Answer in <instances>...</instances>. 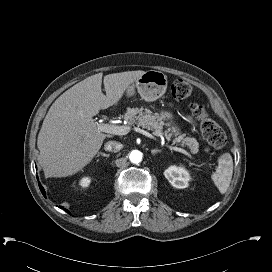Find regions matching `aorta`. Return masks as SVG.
<instances>
[{"label": "aorta", "instance_id": "762f6f07", "mask_svg": "<svg viewBox=\"0 0 272 272\" xmlns=\"http://www.w3.org/2000/svg\"><path fill=\"white\" fill-rule=\"evenodd\" d=\"M129 160L131 163L138 164L142 161V153L138 150H133L129 154Z\"/></svg>", "mask_w": 272, "mask_h": 272}]
</instances>
